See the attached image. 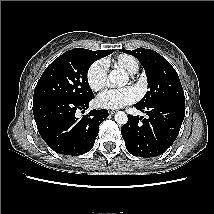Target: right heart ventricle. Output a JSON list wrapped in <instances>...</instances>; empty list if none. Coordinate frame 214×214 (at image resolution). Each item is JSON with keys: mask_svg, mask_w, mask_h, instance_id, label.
Returning <instances> with one entry per match:
<instances>
[{"mask_svg": "<svg viewBox=\"0 0 214 214\" xmlns=\"http://www.w3.org/2000/svg\"><path fill=\"white\" fill-rule=\"evenodd\" d=\"M106 63L109 64V61ZM115 67L122 69L128 74H135L139 70V62L138 60L128 54H120L116 57V59L113 61Z\"/></svg>", "mask_w": 214, "mask_h": 214, "instance_id": "obj_1", "label": "right heart ventricle"}]
</instances>
